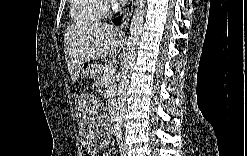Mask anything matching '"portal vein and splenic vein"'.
<instances>
[{
	"mask_svg": "<svg viewBox=\"0 0 247 156\" xmlns=\"http://www.w3.org/2000/svg\"><path fill=\"white\" fill-rule=\"evenodd\" d=\"M114 73V70L112 68H108L105 70V78L108 79L109 77H111Z\"/></svg>",
	"mask_w": 247,
	"mask_h": 156,
	"instance_id": "1",
	"label": "portal vein and splenic vein"
}]
</instances>
